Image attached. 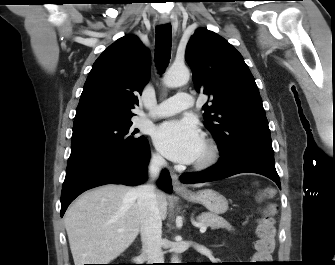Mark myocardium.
Returning a JSON list of instances; mask_svg holds the SVG:
<instances>
[{
    "instance_id": "myocardium-1",
    "label": "myocardium",
    "mask_w": 335,
    "mask_h": 265,
    "mask_svg": "<svg viewBox=\"0 0 335 265\" xmlns=\"http://www.w3.org/2000/svg\"><path fill=\"white\" fill-rule=\"evenodd\" d=\"M204 145L206 148L205 155L201 159L196 160L193 165L194 169L199 171H203L214 166L218 162L221 154L220 147L215 140L208 138L204 141Z\"/></svg>"
}]
</instances>
